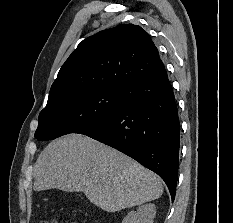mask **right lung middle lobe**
<instances>
[{"label": "right lung middle lobe", "mask_w": 233, "mask_h": 223, "mask_svg": "<svg viewBox=\"0 0 233 223\" xmlns=\"http://www.w3.org/2000/svg\"><path fill=\"white\" fill-rule=\"evenodd\" d=\"M119 88H92L49 101L39 114L35 132L38 140L78 133L113 115L120 109Z\"/></svg>", "instance_id": "1"}]
</instances>
